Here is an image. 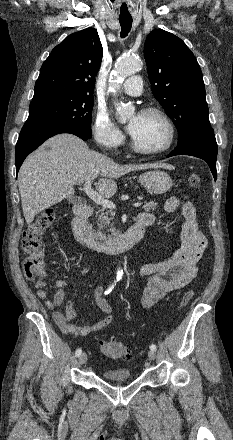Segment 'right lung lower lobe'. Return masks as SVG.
I'll use <instances>...</instances> for the list:
<instances>
[{"mask_svg": "<svg viewBox=\"0 0 233 440\" xmlns=\"http://www.w3.org/2000/svg\"><path fill=\"white\" fill-rule=\"evenodd\" d=\"M60 133H71L80 137L84 141L89 139V137L83 132L70 125L26 121L16 144V174L18 173V170L24 159L32 151L39 147L48 138Z\"/></svg>", "mask_w": 233, "mask_h": 440, "instance_id": "98d812e1", "label": "right lung lower lobe"}]
</instances>
